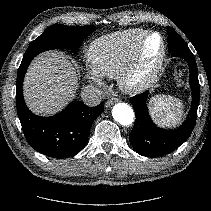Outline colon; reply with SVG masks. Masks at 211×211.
<instances>
[{
    "label": "colon",
    "mask_w": 211,
    "mask_h": 211,
    "mask_svg": "<svg viewBox=\"0 0 211 211\" xmlns=\"http://www.w3.org/2000/svg\"><path fill=\"white\" fill-rule=\"evenodd\" d=\"M174 78L178 84H181L182 76H183V67L181 65H176L174 68Z\"/></svg>",
    "instance_id": "5ec220e1"
}]
</instances>
